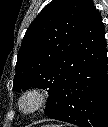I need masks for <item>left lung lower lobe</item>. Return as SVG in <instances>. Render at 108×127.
I'll return each mask as SVG.
<instances>
[{"label":"left lung lower lobe","mask_w":108,"mask_h":127,"mask_svg":"<svg viewBox=\"0 0 108 127\" xmlns=\"http://www.w3.org/2000/svg\"><path fill=\"white\" fill-rule=\"evenodd\" d=\"M107 63L102 18L90 1L45 114L80 127H108Z\"/></svg>","instance_id":"left-lung-lower-lobe-1"}]
</instances>
